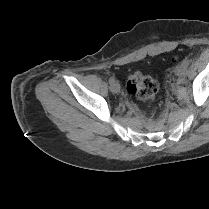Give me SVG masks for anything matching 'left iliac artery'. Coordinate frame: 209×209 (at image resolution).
<instances>
[{
  "label": "left iliac artery",
  "instance_id": "obj_1",
  "mask_svg": "<svg viewBox=\"0 0 209 209\" xmlns=\"http://www.w3.org/2000/svg\"><path fill=\"white\" fill-rule=\"evenodd\" d=\"M182 64H183V66H184L185 68H187L188 65H189V60H188L187 58L184 59L183 62H182Z\"/></svg>",
  "mask_w": 209,
  "mask_h": 209
}]
</instances>
